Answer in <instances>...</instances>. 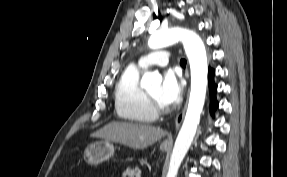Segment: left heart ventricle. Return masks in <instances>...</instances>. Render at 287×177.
Segmentation results:
<instances>
[{"mask_svg":"<svg viewBox=\"0 0 287 177\" xmlns=\"http://www.w3.org/2000/svg\"><path fill=\"white\" fill-rule=\"evenodd\" d=\"M160 85H156L154 87H152L151 89L148 90V93L153 96L161 105H163L164 107H167V105H165L161 98H160Z\"/></svg>","mask_w":287,"mask_h":177,"instance_id":"obj_1","label":"left heart ventricle"}]
</instances>
